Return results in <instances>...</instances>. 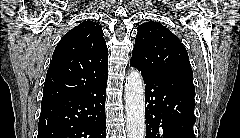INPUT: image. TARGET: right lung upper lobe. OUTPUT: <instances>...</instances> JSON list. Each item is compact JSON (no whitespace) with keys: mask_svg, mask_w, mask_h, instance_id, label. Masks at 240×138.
<instances>
[{"mask_svg":"<svg viewBox=\"0 0 240 138\" xmlns=\"http://www.w3.org/2000/svg\"><path fill=\"white\" fill-rule=\"evenodd\" d=\"M108 48L101 26L84 21L57 44L47 71L41 106L84 94L107 79Z\"/></svg>","mask_w":240,"mask_h":138,"instance_id":"1","label":"right lung upper lobe"}]
</instances>
